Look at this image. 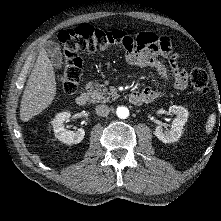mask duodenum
I'll return each instance as SVG.
<instances>
[{
	"label": "duodenum",
	"mask_w": 221,
	"mask_h": 221,
	"mask_svg": "<svg viewBox=\"0 0 221 221\" xmlns=\"http://www.w3.org/2000/svg\"><path fill=\"white\" fill-rule=\"evenodd\" d=\"M76 104L79 106H84L88 102V95L85 92H81L77 95ZM129 101L134 105H140L146 102L145 97L140 92H132L129 95Z\"/></svg>",
	"instance_id": "duodenum-1"
}]
</instances>
